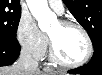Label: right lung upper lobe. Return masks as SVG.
I'll return each mask as SVG.
<instances>
[{"mask_svg":"<svg viewBox=\"0 0 102 75\" xmlns=\"http://www.w3.org/2000/svg\"><path fill=\"white\" fill-rule=\"evenodd\" d=\"M0 3L12 4L20 6L19 0H0Z\"/></svg>","mask_w":102,"mask_h":75,"instance_id":"1","label":"right lung upper lobe"}]
</instances>
